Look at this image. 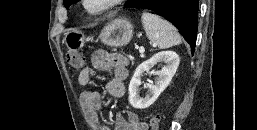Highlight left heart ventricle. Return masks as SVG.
I'll return each instance as SVG.
<instances>
[{
    "mask_svg": "<svg viewBox=\"0 0 257 130\" xmlns=\"http://www.w3.org/2000/svg\"><path fill=\"white\" fill-rule=\"evenodd\" d=\"M109 0H87V6L90 10H98L103 7Z\"/></svg>",
    "mask_w": 257,
    "mask_h": 130,
    "instance_id": "1",
    "label": "left heart ventricle"
}]
</instances>
